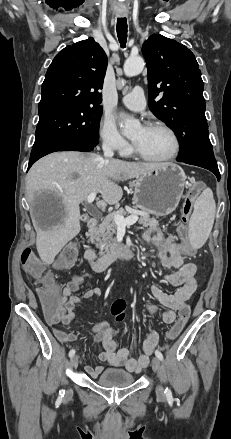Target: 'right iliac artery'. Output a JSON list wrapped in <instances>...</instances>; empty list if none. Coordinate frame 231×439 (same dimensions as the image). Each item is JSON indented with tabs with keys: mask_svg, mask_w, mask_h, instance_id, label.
<instances>
[{
	"mask_svg": "<svg viewBox=\"0 0 231 439\" xmlns=\"http://www.w3.org/2000/svg\"><path fill=\"white\" fill-rule=\"evenodd\" d=\"M74 354H75V350H74V349L70 350V352H69V357H73ZM64 393H65V390H63V389L60 390V392H59L60 397H59V398H62V397L64 396Z\"/></svg>",
	"mask_w": 231,
	"mask_h": 439,
	"instance_id": "1",
	"label": "right iliac artery"
}]
</instances>
